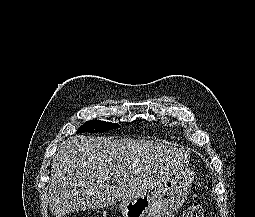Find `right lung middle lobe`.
Here are the masks:
<instances>
[{
	"label": "right lung middle lobe",
	"instance_id": "obj_1",
	"mask_svg": "<svg viewBox=\"0 0 255 217\" xmlns=\"http://www.w3.org/2000/svg\"><path fill=\"white\" fill-rule=\"evenodd\" d=\"M119 124L104 122L100 120H90L85 122L79 129L78 133L88 132V133H97L104 132L107 130H112L119 128Z\"/></svg>",
	"mask_w": 255,
	"mask_h": 217
}]
</instances>
